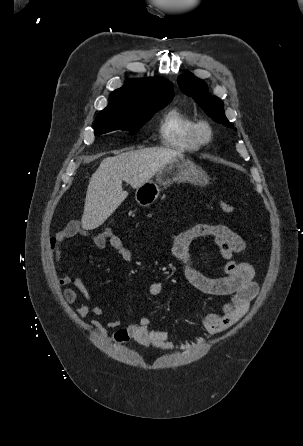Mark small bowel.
I'll list each match as a JSON object with an SVG mask.
<instances>
[{"instance_id":"c3829d8e","label":"small bowel","mask_w":303,"mask_h":446,"mask_svg":"<svg viewBox=\"0 0 303 446\" xmlns=\"http://www.w3.org/2000/svg\"><path fill=\"white\" fill-rule=\"evenodd\" d=\"M78 234L89 235L79 221H72L51 236L48 242L50 259L52 264L59 268L58 284L62 287L74 286L65 288L63 295L68 303L77 305L75 310L77 315L79 317H86L89 314L102 316V308L91 305V295L81 277L72 276L61 268L62 245ZM90 236L98 249L103 250L110 246L123 261L127 263L134 261L132 252L123 245L121 239L116 235L106 238L101 232ZM170 238L172 255L181 265L186 279L201 292L228 297V300L220 311L210 312L202 318L206 337L199 338L193 343H173L168 331L150 328L151 320L147 316L142 317L138 322L124 326L118 320H109L108 327L115 329L111 338L114 343L124 344L134 339L155 349L188 351L202 346L209 338L234 326L248 312L251 301L257 294L258 285L254 280L253 266L248 262L235 260L236 255L246 250V243L240 235L224 225L197 224L187 230L171 233ZM204 238H212L218 246L221 256L225 260L223 276L210 277L196 266L191 254V246L195 241ZM163 290L164 284L161 281L152 282L148 286L150 296H158ZM90 324L102 332L97 322L92 321Z\"/></svg>"}]
</instances>
